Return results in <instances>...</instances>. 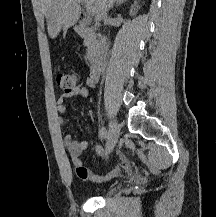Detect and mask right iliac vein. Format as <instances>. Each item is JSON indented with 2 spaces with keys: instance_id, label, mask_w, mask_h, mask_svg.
<instances>
[{
  "instance_id": "1",
  "label": "right iliac vein",
  "mask_w": 216,
  "mask_h": 217,
  "mask_svg": "<svg viewBox=\"0 0 216 217\" xmlns=\"http://www.w3.org/2000/svg\"><path fill=\"white\" fill-rule=\"evenodd\" d=\"M120 129L121 127L116 121L113 120L110 122L108 141H107L106 151H105L106 156L110 154L114 149L120 135Z\"/></svg>"
}]
</instances>
